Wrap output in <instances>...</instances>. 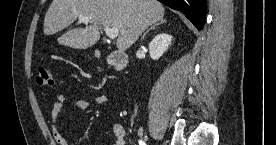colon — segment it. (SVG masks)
Segmentation results:
<instances>
[{
	"mask_svg": "<svg viewBox=\"0 0 276 145\" xmlns=\"http://www.w3.org/2000/svg\"><path fill=\"white\" fill-rule=\"evenodd\" d=\"M36 81L40 86H53L55 82L53 71L50 68L40 67L37 72Z\"/></svg>",
	"mask_w": 276,
	"mask_h": 145,
	"instance_id": "colon-1",
	"label": "colon"
}]
</instances>
